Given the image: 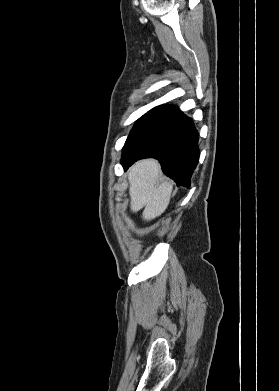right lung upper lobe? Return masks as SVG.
Here are the masks:
<instances>
[{
    "instance_id": "cb5924a9",
    "label": "right lung upper lobe",
    "mask_w": 279,
    "mask_h": 391,
    "mask_svg": "<svg viewBox=\"0 0 279 391\" xmlns=\"http://www.w3.org/2000/svg\"><path fill=\"white\" fill-rule=\"evenodd\" d=\"M170 105H160V106H157V107H155L154 109L155 110H164V109H166V108H168Z\"/></svg>"
}]
</instances>
